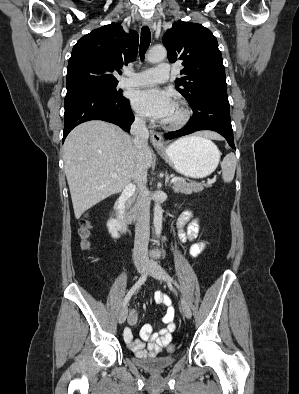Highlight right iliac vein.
I'll list each match as a JSON object with an SVG mask.
<instances>
[{"instance_id": "obj_1", "label": "right iliac vein", "mask_w": 299, "mask_h": 394, "mask_svg": "<svg viewBox=\"0 0 299 394\" xmlns=\"http://www.w3.org/2000/svg\"><path fill=\"white\" fill-rule=\"evenodd\" d=\"M146 269H147L146 264H138L137 265V271L139 274H143L146 271ZM127 315H128V310L125 307L124 309H122V311L120 312V315H119L118 321L120 324H123L125 322Z\"/></svg>"}]
</instances>
